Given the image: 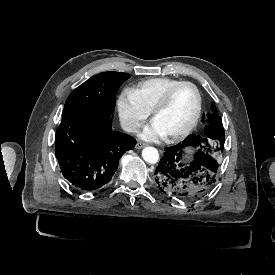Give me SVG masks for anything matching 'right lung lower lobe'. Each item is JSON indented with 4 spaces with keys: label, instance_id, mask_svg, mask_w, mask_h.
I'll list each match as a JSON object with an SVG mask.
<instances>
[{
    "label": "right lung lower lobe",
    "instance_id": "1",
    "mask_svg": "<svg viewBox=\"0 0 275 275\" xmlns=\"http://www.w3.org/2000/svg\"><path fill=\"white\" fill-rule=\"evenodd\" d=\"M136 140L112 130L111 122L83 113L63 114L55 136V154L63 176L81 191L107 184L119 159Z\"/></svg>",
    "mask_w": 275,
    "mask_h": 275
}]
</instances>
